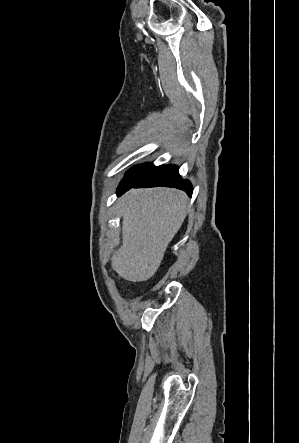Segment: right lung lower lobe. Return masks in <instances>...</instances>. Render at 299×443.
<instances>
[{
	"label": "right lung lower lobe",
	"mask_w": 299,
	"mask_h": 443,
	"mask_svg": "<svg viewBox=\"0 0 299 443\" xmlns=\"http://www.w3.org/2000/svg\"><path fill=\"white\" fill-rule=\"evenodd\" d=\"M158 186L179 188L186 191L190 196L193 192L191 183L188 180L181 179L177 166L162 165L154 167L147 174L132 183L120 185L117 189V194L121 195L132 187L140 188Z\"/></svg>",
	"instance_id": "right-lung-lower-lobe-1"
}]
</instances>
